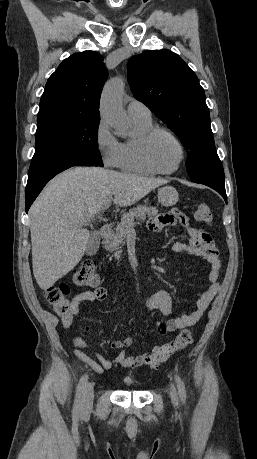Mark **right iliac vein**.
<instances>
[{"mask_svg":"<svg viewBox=\"0 0 257 459\" xmlns=\"http://www.w3.org/2000/svg\"><path fill=\"white\" fill-rule=\"evenodd\" d=\"M94 397V386L92 383H88L85 386L83 393L82 406L84 410H87L91 407Z\"/></svg>","mask_w":257,"mask_h":459,"instance_id":"63e3f726","label":"right iliac vein"}]
</instances>
